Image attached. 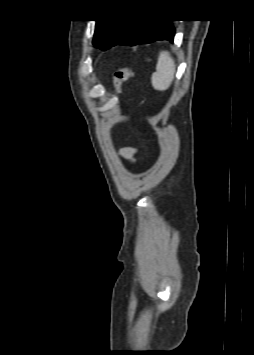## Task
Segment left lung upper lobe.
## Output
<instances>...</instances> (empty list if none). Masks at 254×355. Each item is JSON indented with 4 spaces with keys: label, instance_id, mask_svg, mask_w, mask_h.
<instances>
[{
    "label": "left lung upper lobe",
    "instance_id": "1",
    "mask_svg": "<svg viewBox=\"0 0 254 355\" xmlns=\"http://www.w3.org/2000/svg\"><path fill=\"white\" fill-rule=\"evenodd\" d=\"M130 20H97L93 44L101 50L112 47L121 37L126 24Z\"/></svg>",
    "mask_w": 254,
    "mask_h": 355
}]
</instances>
